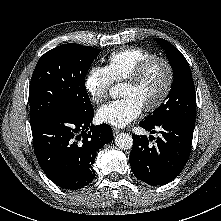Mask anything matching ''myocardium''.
Here are the masks:
<instances>
[{"instance_id":"f54148a6","label":"myocardium","mask_w":221,"mask_h":221,"mask_svg":"<svg viewBox=\"0 0 221 221\" xmlns=\"http://www.w3.org/2000/svg\"><path fill=\"white\" fill-rule=\"evenodd\" d=\"M155 63H162L166 67L167 82L160 97L153 104L143 107V109L146 112H154L158 110L168 99L174 83V68L171 62L164 57H159V56L152 57L150 59H147L141 65H139L136 68V70L132 73V75L125 80V83L131 85L139 83Z\"/></svg>"}]
</instances>
